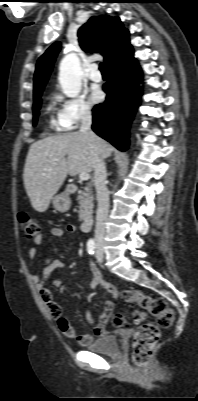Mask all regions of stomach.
<instances>
[{"instance_id": "stomach-1", "label": "stomach", "mask_w": 198, "mask_h": 401, "mask_svg": "<svg viewBox=\"0 0 198 401\" xmlns=\"http://www.w3.org/2000/svg\"><path fill=\"white\" fill-rule=\"evenodd\" d=\"M53 207L59 212H66L70 209L71 200L66 193H61L52 198Z\"/></svg>"}]
</instances>
